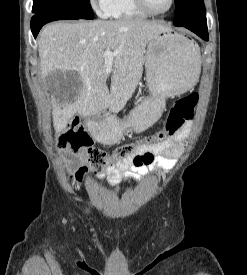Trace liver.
Listing matches in <instances>:
<instances>
[{
	"instance_id": "obj_1",
	"label": "liver",
	"mask_w": 247,
	"mask_h": 275,
	"mask_svg": "<svg viewBox=\"0 0 247 275\" xmlns=\"http://www.w3.org/2000/svg\"><path fill=\"white\" fill-rule=\"evenodd\" d=\"M166 26L143 19L56 22L40 33L38 51L43 79L53 72H76L81 87L69 98L52 100L53 126L63 132L77 113L98 115L106 108L120 112L141 80L146 45ZM116 52L106 71L105 51ZM111 73L110 92L107 77Z\"/></svg>"
}]
</instances>
